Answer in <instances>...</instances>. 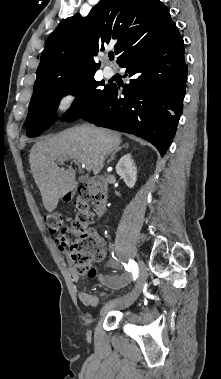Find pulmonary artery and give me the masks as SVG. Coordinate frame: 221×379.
<instances>
[{"label": "pulmonary artery", "mask_w": 221, "mask_h": 379, "mask_svg": "<svg viewBox=\"0 0 221 379\" xmlns=\"http://www.w3.org/2000/svg\"><path fill=\"white\" fill-rule=\"evenodd\" d=\"M103 74L105 77L107 78H110L114 75V70L109 67V66H106L104 69H103Z\"/></svg>", "instance_id": "1"}]
</instances>
